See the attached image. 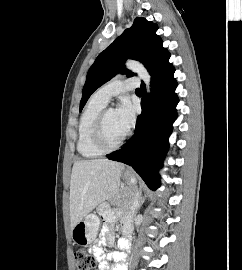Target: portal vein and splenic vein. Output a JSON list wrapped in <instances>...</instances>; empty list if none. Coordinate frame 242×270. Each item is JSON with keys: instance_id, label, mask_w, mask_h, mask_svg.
Listing matches in <instances>:
<instances>
[{"instance_id": "1", "label": "portal vein and splenic vein", "mask_w": 242, "mask_h": 270, "mask_svg": "<svg viewBox=\"0 0 242 270\" xmlns=\"http://www.w3.org/2000/svg\"><path fill=\"white\" fill-rule=\"evenodd\" d=\"M137 206V200L135 199L134 204L132 205L131 209H135Z\"/></svg>"}]
</instances>
